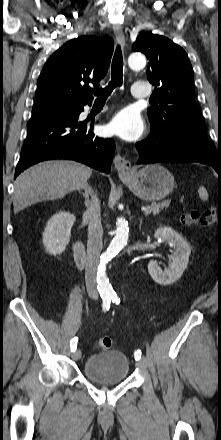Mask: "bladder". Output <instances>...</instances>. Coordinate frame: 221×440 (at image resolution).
<instances>
[{
  "label": "bladder",
  "instance_id": "31cf9c89",
  "mask_svg": "<svg viewBox=\"0 0 221 440\" xmlns=\"http://www.w3.org/2000/svg\"><path fill=\"white\" fill-rule=\"evenodd\" d=\"M130 363L120 350H109L90 356L84 364V375L96 383H121L128 377Z\"/></svg>",
  "mask_w": 221,
  "mask_h": 440
}]
</instances>
